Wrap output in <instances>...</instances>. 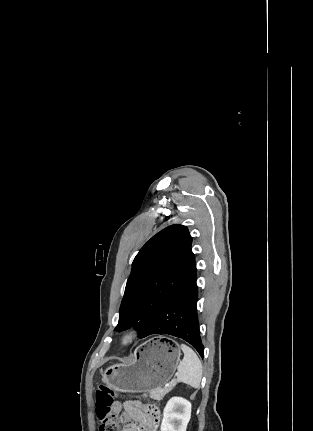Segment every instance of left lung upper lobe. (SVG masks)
Here are the masks:
<instances>
[{
	"instance_id": "left-lung-upper-lobe-1",
	"label": "left lung upper lobe",
	"mask_w": 313,
	"mask_h": 431,
	"mask_svg": "<svg viewBox=\"0 0 313 431\" xmlns=\"http://www.w3.org/2000/svg\"><path fill=\"white\" fill-rule=\"evenodd\" d=\"M191 244L187 227L176 224L141 248L132 263L116 330L134 326L141 336L161 308L196 276Z\"/></svg>"
}]
</instances>
